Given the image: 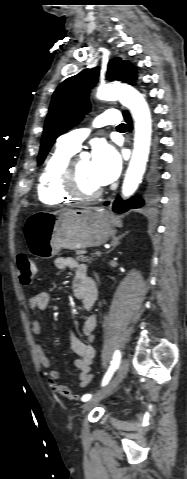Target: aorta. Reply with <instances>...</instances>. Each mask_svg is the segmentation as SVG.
I'll list each match as a JSON object with an SVG mask.
<instances>
[{
	"mask_svg": "<svg viewBox=\"0 0 187 479\" xmlns=\"http://www.w3.org/2000/svg\"><path fill=\"white\" fill-rule=\"evenodd\" d=\"M97 98L101 100H119L130 109L135 120L134 149L124 179L122 192L131 196L141 182L151 142V115L143 96L128 85L107 84L98 88Z\"/></svg>",
	"mask_w": 187,
	"mask_h": 479,
	"instance_id": "obj_1",
	"label": "aorta"
}]
</instances>
